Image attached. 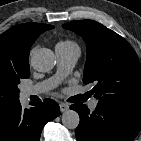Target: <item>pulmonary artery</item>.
I'll return each instance as SVG.
<instances>
[{
  "instance_id": "1",
  "label": "pulmonary artery",
  "mask_w": 141,
  "mask_h": 141,
  "mask_svg": "<svg viewBox=\"0 0 141 141\" xmlns=\"http://www.w3.org/2000/svg\"><path fill=\"white\" fill-rule=\"evenodd\" d=\"M79 55H80V50L78 47L66 48V47L56 46V56L58 61L57 73L53 77L45 81L24 88L22 91L23 97L40 95L55 88L60 83V81L73 69ZM97 104L98 101L93 99L89 103V107L91 109H95Z\"/></svg>"
}]
</instances>
